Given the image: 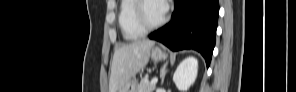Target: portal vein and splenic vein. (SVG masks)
Returning a JSON list of instances; mask_svg holds the SVG:
<instances>
[{
	"mask_svg": "<svg viewBox=\"0 0 296 92\" xmlns=\"http://www.w3.org/2000/svg\"><path fill=\"white\" fill-rule=\"evenodd\" d=\"M157 82H158V78L157 77H155V78H153L151 80V84H156Z\"/></svg>",
	"mask_w": 296,
	"mask_h": 92,
	"instance_id": "portal-vein-and-splenic-vein-1",
	"label": "portal vein and splenic vein"
}]
</instances>
